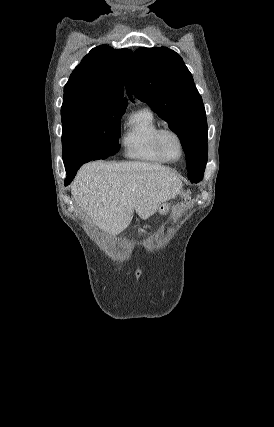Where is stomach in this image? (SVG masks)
<instances>
[{
    "label": "stomach",
    "mask_w": 274,
    "mask_h": 427,
    "mask_svg": "<svg viewBox=\"0 0 274 427\" xmlns=\"http://www.w3.org/2000/svg\"><path fill=\"white\" fill-rule=\"evenodd\" d=\"M159 212H160V214H165V212H167L166 204H161V206L159 208Z\"/></svg>",
    "instance_id": "obj_1"
}]
</instances>
